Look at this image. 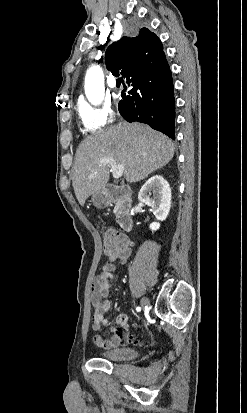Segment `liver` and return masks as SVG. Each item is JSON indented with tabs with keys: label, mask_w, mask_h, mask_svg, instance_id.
<instances>
[{
	"label": "liver",
	"mask_w": 247,
	"mask_h": 413,
	"mask_svg": "<svg viewBox=\"0 0 247 413\" xmlns=\"http://www.w3.org/2000/svg\"><path fill=\"white\" fill-rule=\"evenodd\" d=\"M174 144L166 134L141 122H118L99 128L80 142L72 170L74 192L83 204L100 192L109 180V164L99 166L100 158H114L123 164L128 182H137L165 166L174 154Z\"/></svg>",
	"instance_id": "obj_1"
}]
</instances>
